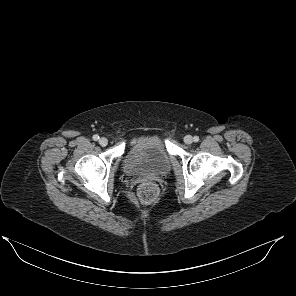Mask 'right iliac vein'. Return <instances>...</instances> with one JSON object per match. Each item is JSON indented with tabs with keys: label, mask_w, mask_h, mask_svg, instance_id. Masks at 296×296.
<instances>
[{
	"label": "right iliac vein",
	"mask_w": 296,
	"mask_h": 296,
	"mask_svg": "<svg viewBox=\"0 0 296 296\" xmlns=\"http://www.w3.org/2000/svg\"><path fill=\"white\" fill-rule=\"evenodd\" d=\"M99 144L101 145V146H106L107 144H108V140H107V138H105V137H102V138H100L99 139Z\"/></svg>",
	"instance_id": "1"
}]
</instances>
